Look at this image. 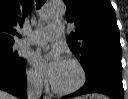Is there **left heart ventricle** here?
<instances>
[{"label":"left heart ventricle","mask_w":128,"mask_h":99,"mask_svg":"<svg viewBox=\"0 0 128 99\" xmlns=\"http://www.w3.org/2000/svg\"><path fill=\"white\" fill-rule=\"evenodd\" d=\"M78 80L79 71L77 67L65 61L53 83L57 87L65 89L74 86Z\"/></svg>","instance_id":"left-heart-ventricle-1"}]
</instances>
